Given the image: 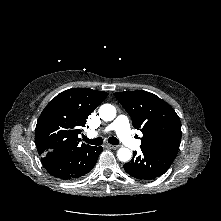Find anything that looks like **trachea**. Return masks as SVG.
Segmentation results:
<instances>
[{
    "label": "trachea",
    "instance_id": "3493384b",
    "mask_svg": "<svg viewBox=\"0 0 221 221\" xmlns=\"http://www.w3.org/2000/svg\"><path fill=\"white\" fill-rule=\"evenodd\" d=\"M83 140L86 143L95 145V146H99L102 144L103 140L101 137L95 138V139H89L86 136H83ZM108 142L112 145H118L119 144V140L115 137H109Z\"/></svg>",
    "mask_w": 221,
    "mask_h": 221
}]
</instances>
